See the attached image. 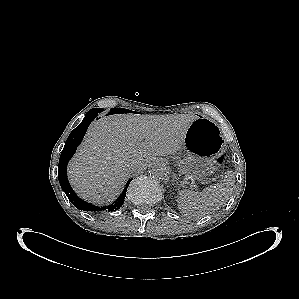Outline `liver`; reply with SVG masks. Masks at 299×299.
<instances>
[{
  "mask_svg": "<svg viewBox=\"0 0 299 299\" xmlns=\"http://www.w3.org/2000/svg\"><path fill=\"white\" fill-rule=\"evenodd\" d=\"M196 118L188 114L100 118L90 126L68 165L72 187L84 200L112 202L133 172L143 170L156 156H168L181 149Z\"/></svg>",
  "mask_w": 299,
  "mask_h": 299,
  "instance_id": "6515ba94",
  "label": "liver"
}]
</instances>
